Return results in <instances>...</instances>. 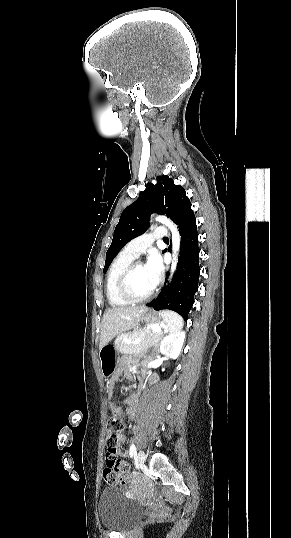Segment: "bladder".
<instances>
[{"mask_svg": "<svg viewBox=\"0 0 291 538\" xmlns=\"http://www.w3.org/2000/svg\"><path fill=\"white\" fill-rule=\"evenodd\" d=\"M97 510L101 524L116 532L129 529L143 514V509L124 498L117 486H109L102 492Z\"/></svg>", "mask_w": 291, "mask_h": 538, "instance_id": "31cf9c89", "label": "bladder"}]
</instances>
